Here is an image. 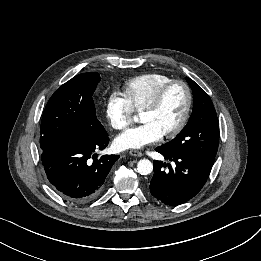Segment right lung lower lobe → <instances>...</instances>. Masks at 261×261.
Listing matches in <instances>:
<instances>
[{"mask_svg": "<svg viewBox=\"0 0 261 261\" xmlns=\"http://www.w3.org/2000/svg\"><path fill=\"white\" fill-rule=\"evenodd\" d=\"M109 143L107 132L64 141L42 151L41 159L49 182L57 193L70 202H85L101 190L119 155L94 154ZM95 159L93 162L90 158Z\"/></svg>", "mask_w": 261, "mask_h": 261, "instance_id": "right-lung-lower-lobe-1", "label": "right lung lower lobe"}]
</instances>
